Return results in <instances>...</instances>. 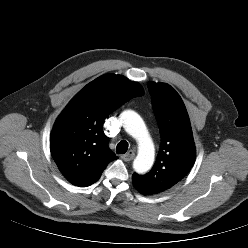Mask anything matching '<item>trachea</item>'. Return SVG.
Listing matches in <instances>:
<instances>
[{"instance_id": "trachea-1", "label": "trachea", "mask_w": 248, "mask_h": 248, "mask_svg": "<svg viewBox=\"0 0 248 248\" xmlns=\"http://www.w3.org/2000/svg\"><path fill=\"white\" fill-rule=\"evenodd\" d=\"M127 150H128V142L125 140L120 141L116 147L117 154H125Z\"/></svg>"}]
</instances>
